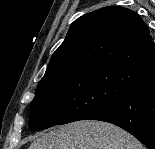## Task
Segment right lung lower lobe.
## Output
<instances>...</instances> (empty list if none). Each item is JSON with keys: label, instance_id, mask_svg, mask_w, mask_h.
<instances>
[{"label": "right lung lower lobe", "instance_id": "right-lung-lower-lobe-1", "mask_svg": "<svg viewBox=\"0 0 155 149\" xmlns=\"http://www.w3.org/2000/svg\"><path fill=\"white\" fill-rule=\"evenodd\" d=\"M90 120L115 124L155 149V75L128 90Z\"/></svg>", "mask_w": 155, "mask_h": 149}]
</instances>
